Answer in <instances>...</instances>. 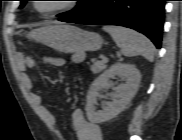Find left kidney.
<instances>
[{
	"instance_id": "1",
	"label": "left kidney",
	"mask_w": 182,
	"mask_h": 140,
	"mask_svg": "<svg viewBox=\"0 0 182 140\" xmlns=\"http://www.w3.org/2000/svg\"><path fill=\"white\" fill-rule=\"evenodd\" d=\"M115 76L121 77L125 83L113 87L116 92V99L106 103L102 110L96 111L95 104L99 92L112 87L110 79ZM141 81L140 71L133 65L125 63H115L102 75H100L91 85L86 104V114L90 122L103 123L121 113L130 103L136 94Z\"/></svg>"
}]
</instances>
